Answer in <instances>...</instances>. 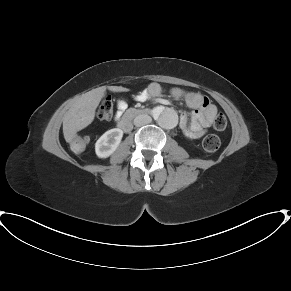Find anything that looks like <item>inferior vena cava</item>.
<instances>
[{"mask_svg": "<svg viewBox=\"0 0 291 291\" xmlns=\"http://www.w3.org/2000/svg\"><path fill=\"white\" fill-rule=\"evenodd\" d=\"M151 121H152V118L149 115L140 114V115L135 117L134 125L137 126V127H140V126H143V125L151 123Z\"/></svg>", "mask_w": 291, "mask_h": 291, "instance_id": "obj_1", "label": "inferior vena cava"}]
</instances>
